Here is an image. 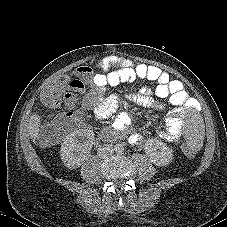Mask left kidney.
Wrapping results in <instances>:
<instances>
[{"label": "left kidney", "instance_id": "obj_1", "mask_svg": "<svg viewBox=\"0 0 227 227\" xmlns=\"http://www.w3.org/2000/svg\"><path fill=\"white\" fill-rule=\"evenodd\" d=\"M148 145L146 153L153 164L156 166H167L172 162L173 151L166 144L153 139L149 141Z\"/></svg>", "mask_w": 227, "mask_h": 227}]
</instances>
